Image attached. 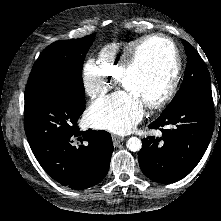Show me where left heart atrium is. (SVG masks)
Instances as JSON below:
<instances>
[{
  "label": "left heart atrium",
  "instance_id": "left-heart-atrium-1",
  "mask_svg": "<svg viewBox=\"0 0 221 221\" xmlns=\"http://www.w3.org/2000/svg\"><path fill=\"white\" fill-rule=\"evenodd\" d=\"M143 114V103L125 90L94 103L89 119L99 128L127 134L139 123Z\"/></svg>",
  "mask_w": 221,
  "mask_h": 221
}]
</instances>
